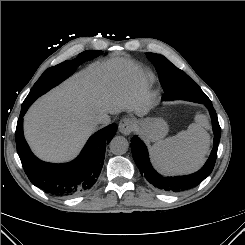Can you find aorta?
Wrapping results in <instances>:
<instances>
[{"instance_id":"762f6f07","label":"aorta","mask_w":245,"mask_h":245,"mask_svg":"<svg viewBox=\"0 0 245 245\" xmlns=\"http://www.w3.org/2000/svg\"><path fill=\"white\" fill-rule=\"evenodd\" d=\"M129 142L125 137L116 136L110 142V150L113 154L122 155L128 151Z\"/></svg>"}]
</instances>
